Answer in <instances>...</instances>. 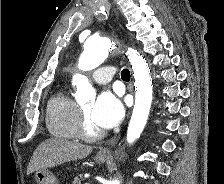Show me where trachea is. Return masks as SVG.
<instances>
[{"instance_id":"trachea-1","label":"trachea","mask_w":224,"mask_h":184,"mask_svg":"<svg viewBox=\"0 0 224 184\" xmlns=\"http://www.w3.org/2000/svg\"><path fill=\"white\" fill-rule=\"evenodd\" d=\"M121 78L125 81H129L130 80V71L128 69H123L121 71Z\"/></svg>"}]
</instances>
